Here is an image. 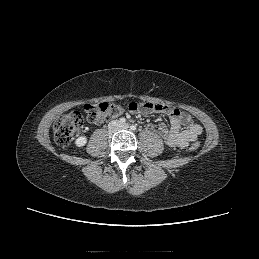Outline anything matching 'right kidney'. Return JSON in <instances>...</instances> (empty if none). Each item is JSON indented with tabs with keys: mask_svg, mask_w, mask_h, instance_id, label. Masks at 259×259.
Listing matches in <instances>:
<instances>
[{
	"mask_svg": "<svg viewBox=\"0 0 259 259\" xmlns=\"http://www.w3.org/2000/svg\"><path fill=\"white\" fill-rule=\"evenodd\" d=\"M87 143V138L85 136H80L76 139L75 144L78 147H82Z\"/></svg>",
	"mask_w": 259,
	"mask_h": 259,
	"instance_id": "obj_1",
	"label": "right kidney"
}]
</instances>
